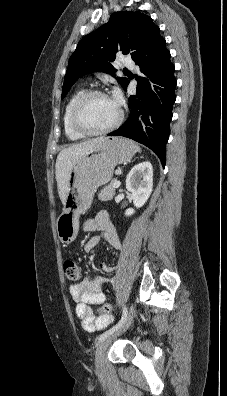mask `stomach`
Masks as SVG:
<instances>
[{
  "instance_id": "0dacf381",
  "label": "stomach",
  "mask_w": 227,
  "mask_h": 396,
  "mask_svg": "<svg viewBox=\"0 0 227 396\" xmlns=\"http://www.w3.org/2000/svg\"><path fill=\"white\" fill-rule=\"evenodd\" d=\"M137 146L131 140L107 137L72 166L63 212L56 221L62 243H71L79 231V215L91 205L97 188L108 183L118 164L129 162Z\"/></svg>"
}]
</instances>
